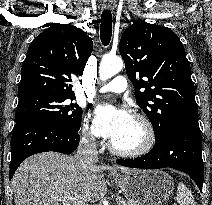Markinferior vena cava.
I'll return each mask as SVG.
<instances>
[{
    "instance_id": "602c4592",
    "label": "inferior vena cava",
    "mask_w": 212,
    "mask_h": 205,
    "mask_svg": "<svg viewBox=\"0 0 212 205\" xmlns=\"http://www.w3.org/2000/svg\"><path fill=\"white\" fill-rule=\"evenodd\" d=\"M97 142L94 137L84 135L79 142L76 158L80 165L85 168L88 165L95 164L98 161Z\"/></svg>"
}]
</instances>
